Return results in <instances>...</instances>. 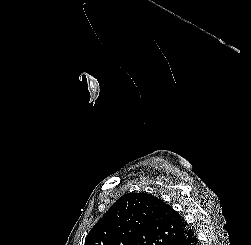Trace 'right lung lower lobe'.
I'll return each mask as SVG.
<instances>
[{
	"mask_svg": "<svg viewBox=\"0 0 251 245\" xmlns=\"http://www.w3.org/2000/svg\"><path fill=\"white\" fill-rule=\"evenodd\" d=\"M198 241L194 232L189 229L179 238L171 241L168 245H197Z\"/></svg>",
	"mask_w": 251,
	"mask_h": 245,
	"instance_id": "98d812e1",
	"label": "right lung lower lobe"
}]
</instances>
